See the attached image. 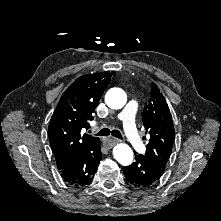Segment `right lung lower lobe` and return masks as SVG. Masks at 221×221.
<instances>
[{"instance_id":"1","label":"right lung lower lobe","mask_w":221,"mask_h":221,"mask_svg":"<svg viewBox=\"0 0 221 221\" xmlns=\"http://www.w3.org/2000/svg\"><path fill=\"white\" fill-rule=\"evenodd\" d=\"M101 159L99 140L74 156L59 171L67 183L75 187H82L92 181Z\"/></svg>"}]
</instances>
